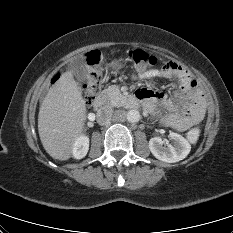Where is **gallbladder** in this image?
Wrapping results in <instances>:
<instances>
[{
	"instance_id": "obj_1",
	"label": "gallbladder",
	"mask_w": 233,
	"mask_h": 233,
	"mask_svg": "<svg viewBox=\"0 0 233 233\" xmlns=\"http://www.w3.org/2000/svg\"><path fill=\"white\" fill-rule=\"evenodd\" d=\"M86 61L83 56L77 57L71 64V71L79 82H84L87 78Z\"/></svg>"
}]
</instances>
